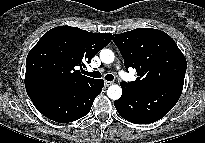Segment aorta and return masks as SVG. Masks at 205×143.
Segmentation results:
<instances>
[{
  "instance_id": "aorta-1",
  "label": "aorta",
  "mask_w": 205,
  "mask_h": 143,
  "mask_svg": "<svg viewBox=\"0 0 205 143\" xmlns=\"http://www.w3.org/2000/svg\"><path fill=\"white\" fill-rule=\"evenodd\" d=\"M115 55L110 49L100 51V59L105 64H110L114 61ZM107 95L112 100H117L122 95V88L119 85H111L107 89Z\"/></svg>"
}]
</instances>
